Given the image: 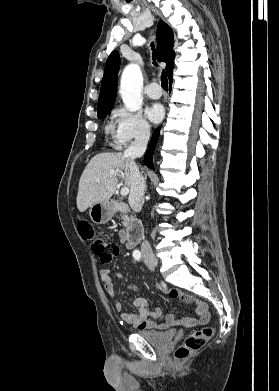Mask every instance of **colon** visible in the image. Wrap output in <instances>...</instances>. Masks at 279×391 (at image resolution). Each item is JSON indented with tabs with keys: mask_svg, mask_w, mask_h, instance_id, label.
<instances>
[{
	"mask_svg": "<svg viewBox=\"0 0 279 391\" xmlns=\"http://www.w3.org/2000/svg\"><path fill=\"white\" fill-rule=\"evenodd\" d=\"M78 230L80 235L89 242L92 251L102 263L111 262L118 254V245L115 242L104 238L103 235L98 233L89 222H80ZM212 335L213 328L211 326H204L201 329L192 332L185 339L183 344L176 350V358L179 360L188 358L203 347Z\"/></svg>",
	"mask_w": 279,
	"mask_h": 391,
	"instance_id": "colon-1",
	"label": "colon"
}]
</instances>
